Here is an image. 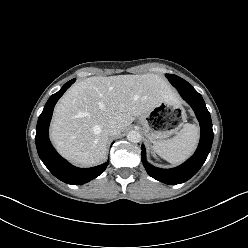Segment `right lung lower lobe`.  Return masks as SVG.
Returning <instances> with one entry per match:
<instances>
[{
	"instance_id": "right-lung-lower-lobe-1",
	"label": "right lung lower lobe",
	"mask_w": 248,
	"mask_h": 248,
	"mask_svg": "<svg viewBox=\"0 0 248 248\" xmlns=\"http://www.w3.org/2000/svg\"><path fill=\"white\" fill-rule=\"evenodd\" d=\"M74 82L75 79L70 80L63 85L61 90L48 99L38 119L35 142L40 159L55 177L67 184L81 185L91 181L104 172L108 162L87 169L74 167L55 151L50 143L48 134L54 106L58 99Z\"/></svg>"
}]
</instances>
